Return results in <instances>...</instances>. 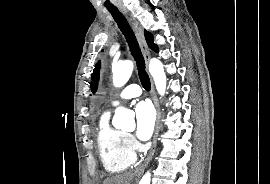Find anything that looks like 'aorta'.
<instances>
[{
	"label": "aorta",
	"mask_w": 270,
	"mask_h": 184,
	"mask_svg": "<svg viewBox=\"0 0 270 184\" xmlns=\"http://www.w3.org/2000/svg\"><path fill=\"white\" fill-rule=\"evenodd\" d=\"M133 67H134L133 62L130 60L114 64L112 66L114 86L121 87L125 85L132 74ZM149 72L154 79L158 93L161 96H163L166 90L167 79L162 62L156 58L151 59L149 63ZM113 125L117 129H126V130L134 129L135 128L134 113L126 108L118 107L115 110ZM150 183H151V175L149 172H147L142 177L139 184H150Z\"/></svg>",
	"instance_id": "aorta-1"
}]
</instances>
